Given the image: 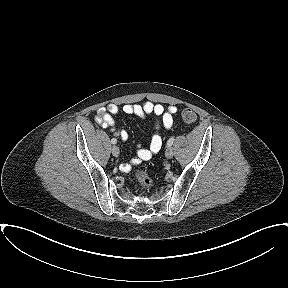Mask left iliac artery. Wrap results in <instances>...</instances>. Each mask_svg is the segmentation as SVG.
Masks as SVG:
<instances>
[{
	"label": "left iliac artery",
	"instance_id": "44dca946",
	"mask_svg": "<svg viewBox=\"0 0 288 288\" xmlns=\"http://www.w3.org/2000/svg\"><path fill=\"white\" fill-rule=\"evenodd\" d=\"M174 140H175L174 137H171V138L167 141V146H172Z\"/></svg>",
	"mask_w": 288,
	"mask_h": 288
}]
</instances>
